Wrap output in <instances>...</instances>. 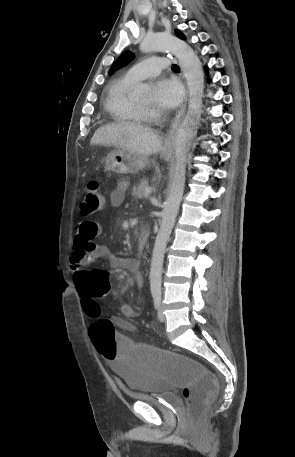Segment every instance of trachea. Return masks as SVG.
Masks as SVG:
<instances>
[{"label": "trachea", "instance_id": "obj_1", "mask_svg": "<svg viewBox=\"0 0 295 457\" xmlns=\"http://www.w3.org/2000/svg\"><path fill=\"white\" fill-rule=\"evenodd\" d=\"M172 69H173V70H178V69H179V66L176 65V64H173V65H172Z\"/></svg>", "mask_w": 295, "mask_h": 457}]
</instances>
